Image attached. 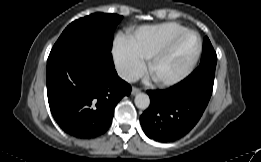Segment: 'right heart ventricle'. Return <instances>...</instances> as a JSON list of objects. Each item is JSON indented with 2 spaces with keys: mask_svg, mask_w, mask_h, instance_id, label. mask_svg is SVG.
<instances>
[{
  "mask_svg": "<svg viewBox=\"0 0 261 162\" xmlns=\"http://www.w3.org/2000/svg\"><path fill=\"white\" fill-rule=\"evenodd\" d=\"M186 28L175 22H165L142 26L128 36L134 51L142 58L148 59L175 34Z\"/></svg>",
  "mask_w": 261,
  "mask_h": 162,
  "instance_id": "obj_1",
  "label": "right heart ventricle"
}]
</instances>
